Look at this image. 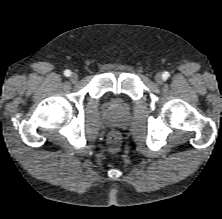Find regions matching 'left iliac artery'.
Returning a JSON list of instances; mask_svg holds the SVG:
<instances>
[{"label":"left iliac artery","mask_w":222,"mask_h":219,"mask_svg":"<svg viewBox=\"0 0 222 219\" xmlns=\"http://www.w3.org/2000/svg\"><path fill=\"white\" fill-rule=\"evenodd\" d=\"M162 76L163 79L166 80L170 76V74L168 72H164Z\"/></svg>","instance_id":"obj_1"}]
</instances>
